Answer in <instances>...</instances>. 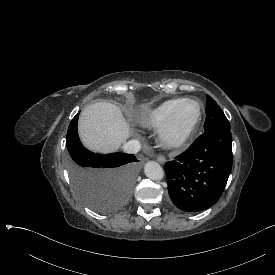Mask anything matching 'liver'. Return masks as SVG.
Instances as JSON below:
<instances>
[{"label": "liver", "mask_w": 275, "mask_h": 275, "mask_svg": "<svg viewBox=\"0 0 275 275\" xmlns=\"http://www.w3.org/2000/svg\"><path fill=\"white\" fill-rule=\"evenodd\" d=\"M78 130L87 148L102 153L118 150L130 135L120 108L108 102L87 106L80 114Z\"/></svg>", "instance_id": "1"}]
</instances>
